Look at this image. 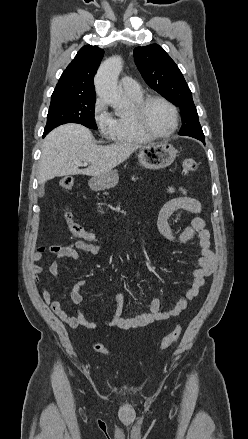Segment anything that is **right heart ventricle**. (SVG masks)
Segmentation results:
<instances>
[{
	"instance_id": "e07e8e85",
	"label": "right heart ventricle",
	"mask_w": 248,
	"mask_h": 439,
	"mask_svg": "<svg viewBox=\"0 0 248 439\" xmlns=\"http://www.w3.org/2000/svg\"><path fill=\"white\" fill-rule=\"evenodd\" d=\"M126 95L131 102V108L127 113L118 114L114 118L111 138L118 143H148L153 138L141 131L134 118L135 105L143 98V93L141 91L137 94L126 93Z\"/></svg>"
}]
</instances>
